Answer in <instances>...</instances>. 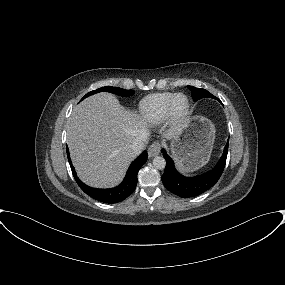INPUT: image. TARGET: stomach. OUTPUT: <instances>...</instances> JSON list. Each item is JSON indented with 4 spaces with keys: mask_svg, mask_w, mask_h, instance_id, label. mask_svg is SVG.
<instances>
[{
    "mask_svg": "<svg viewBox=\"0 0 285 285\" xmlns=\"http://www.w3.org/2000/svg\"><path fill=\"white\" fill-rule=\"evenodd\" d=\"M215 139L213 123L202 116L193 117L171 143V152L179 169L194 171L210 159Z\"/></svg>",
    "mask_w": 285,
    "mask_h": 285,
    "instance_id": "stomach-1",
    "label": "stomach"
}]
</instances>
